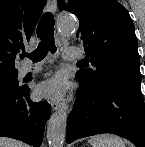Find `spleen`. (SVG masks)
<instances>
[{
  "instance_id": "obj_1",
  "label": "spleen",
  "mask_w": 145,
  "mask_h": 147,
  "mask_svg": "<svg viewBox=\"0 0 145 147\" xmlns=\"http://www.w3.org/2000/svg\"><path fill=\"white\" fill-rule=\"evenodd\" d=\"M92 147H125L121 138L111 134H101L89 140Z\"/></svg>"
}]
</instances>
